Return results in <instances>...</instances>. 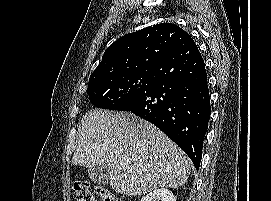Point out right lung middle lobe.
Segmentation results:
<instances>
[{"label":"right lung middle lobe","instance_id":"1","mask_svg":"<svg viewBox=\"0 0 271 201\" xmlns=\"http://www.w3.org/2000/svg\"><path fill=\"white\" fill-rule=\"evenodd\" d=\"M152 81V72H124L89 79L87 92L94 106L119 110L125 102L147 90Z\"/></svg>","mask_w":271,"mask_h":201}]
</instances>
